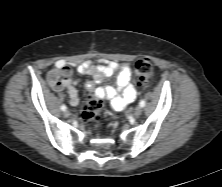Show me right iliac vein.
Listing matches in <instances>:
<instances>
[{
    "instance_id": "obj_1",
    "label": "right iliac vein",
    "mask_w": 222,
    "mask_h": 187,
    "mask_svg": "<svg viewBox=\"0 0 222 187\" xmlns=\"http://www.w3.org/2000/svg\"><path fill=\"white\" fill-rule=\"evenodd\" d=\"M64 116H65V117H69V116H70V112H69L68 110H65Z\"/></svg>"
}]
</instances>
